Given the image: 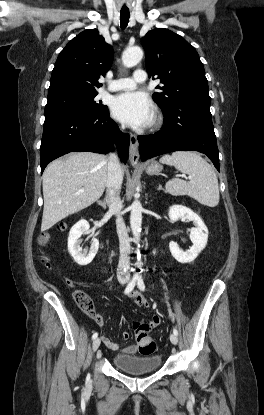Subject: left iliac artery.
<instances>
[{
  "mask_svg": "<svg viewBox=\"0 0 264 415\" xmlns=\"http://www.w3.org/2000/svg\"><path fill=\"white\" fill-rule=\"evenodd\" d=\"M137 286H138V288H139L141 291H144V290H145V284H144V281H143V279H142L140 276H138V275H137ZM173 333H174L175 335H178V331H177V329H176V328H174V329H173Z\"/></svg>",
  "mask_w": 264,
  "mask_h": 415,
  "instance_id": "obj_1",
  "label": "left iliac artery"
}]
</instances>
